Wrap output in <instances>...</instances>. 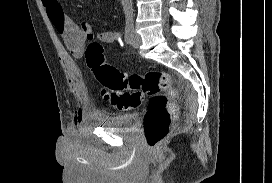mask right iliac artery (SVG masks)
<instances>
[{"label":"right iliac artery","instance_id":"82829eb1","mask_svg":"<svg viewBox=\"0 0 272 183\" xmlns=\"http://www.w3.org/2000/svg\"><path fill=\"white\" fill-rule=\"evenodd\" d=\"M133 24H126L124 39L127 44H130L133 37Z\"/></svg>","mask_w":272,"mask_h":183}]
</instances>
